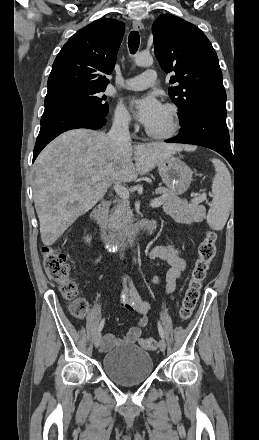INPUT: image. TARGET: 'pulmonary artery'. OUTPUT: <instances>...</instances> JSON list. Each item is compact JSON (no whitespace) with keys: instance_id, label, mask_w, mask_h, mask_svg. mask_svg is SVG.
Returning a JSON list of instances; mask_svg holds the SVG:
<instances>
[{"instance_id":"1","label":"pulmonary artery","mask_w":259,"mask_h":440,"mask_svg":"<svg viewBox=\"0 0 259 440\" xmlns=\"http://www.w3.org/2000/svg\"><path fill=\"white\" fill-rule=\"evenodd\" d=\"M157 83V72L147 69L142 74L125 79L123 87L129 90H143Z\"/></svg>"}]
</instances>
